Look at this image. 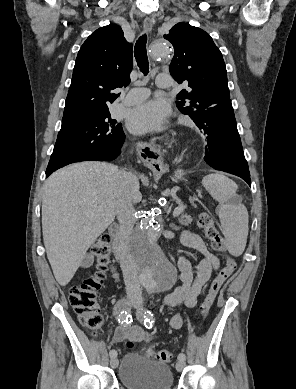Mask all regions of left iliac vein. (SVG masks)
Instances as JSON below:
<instances>
[{"mask_svg":"<svg viewBox=\"0 0 296 389\" xmlns=\"http://www.w3.org/2000/svg\"><path fill=\"white\" fill-rule=\"evenodd\" d=\"M134 307L135 308H139L140 307V302H135L134 303ZM184 366H185L184 360H178L177 363H176V370L180 372V371L183 370Z\"/></svg>","mask_w":296,"mask_h":389,"instance_id":"left-iliac-vein-1","label":"left iliac vein"}]
</instances>
